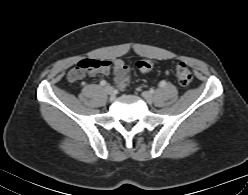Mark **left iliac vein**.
<instances>
[{"label": "left iliac vein", "mask_w": 248, "mask_h": 195, "mask_svg": "<svg viewBox=\"0 0 248 195\" xmlns=\"http://www.w3.org/2000/svg\"><path fill=\"white\" fill-rule=\"evenodd\" d=\"M142 97L148 102V103H152L154 101V97L152 95V93L148 92V91H144L142 92Z\"/></svg>", "instance_id": "4c4485c4"}]
</instances>
